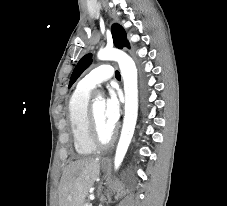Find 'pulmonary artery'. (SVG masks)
Wrapping results in <instances>:
<instances>
[{
    "label": "pulmonary artery",
    "mask_w": 227,
    "mask_h": 206,
    "mask_svg": "<svg viewBox=\"0 0 227 206\" xmlns=\"http://www.w3.org/2000/svg\"><path fill=\"white\" fill-rule=\"evenodd\" d=\"M114 76V69L111 65L104 64L90 71L81 79L78 86L85 90H92L101 83L109 80Z\"/></svg>",
    "instance_id": "pulmonary-artery-1"
}]
</instances>
